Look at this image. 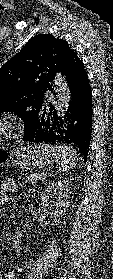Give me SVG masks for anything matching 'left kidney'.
<instances>
[{
  "instance_id": "obj_1",
  "label": "left kidney",
  "mask_w": 113,
  "mask_h": 279,
  "mask_svg": "<svg viewBox=\"0 0 113 279\" xmlns=\"http://www.w3.org/2000/svg\"><path fill=\"white\" fill-rule=\"evenodd\" d=\"M69 191L70 187L68 181L57 180L49 184L42 192V202L55 208L53 216L56 224L61 222L69 207ZM54 196H57L55 200H53Z\"/></svg>"
}]
</instances>
